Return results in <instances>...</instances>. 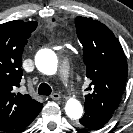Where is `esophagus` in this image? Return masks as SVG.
Listing matches in <instances>:
<instances>
[{"label":"esophagus","instance_id":"1","mask_svg":"<svg viewBox=\"0 0 133 133\" xmlns=\"http://www.w3.org/2000/svg\"><path fill=\"white\" fill-rule=\"evenodd\" d=\"M50 97L53 100H59L61 98L60 94L58 93H53Z\"/></svg>","mask_w":133,"mask_h":133}]
</instances>
